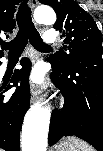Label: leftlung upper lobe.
Wrapping results in <instances>:
<instances>
[{
  "label": "left lung upper lobe",
  "mask_w": 103,
  "mask_h": 151,
  "mask_svg": "<svg viewBox=\"0 0 103 151\" xmlns=\"http://www.w3.org/2000/svg\"><path fill=\"white\" fill-rule=\"evenodd\" d=\"M57 14L53 28L62 33L64 46L48 59L53 66L67 70L81 56L103 54L102 35L94 19L74 0H41Z\"/></svg>",
  "instance_id": "obj_1"
}]
</instances>
